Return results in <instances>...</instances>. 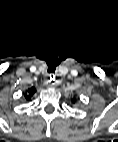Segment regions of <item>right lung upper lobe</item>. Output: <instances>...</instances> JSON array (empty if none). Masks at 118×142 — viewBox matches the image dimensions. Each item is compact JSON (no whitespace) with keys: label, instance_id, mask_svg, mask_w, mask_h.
<instances>
[{"label":"right lung upper lobe","instance_id":"obj_1","mask_svg":"<svg viewBox=\"0 0 118 142\" xmlns=\"http://www.w3.org/2000/svg\"><path fill=\"white\" fill-rule=\"evenodd\" d=\"M36 92V89L34 87L28 89L25 93H24V97L27 101H29L31 99V97L34 95V93Z\"/></svg>","mask_w":118,"mask_h":142}]
</instances>
